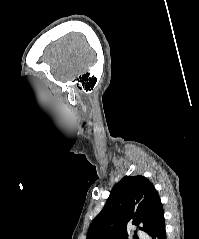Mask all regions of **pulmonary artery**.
Here are the masks:
<instances>
[{"label":"pulmonary artery","instance_id":"obj_1","mask_svg":"<svg viewBox=\"0 0 199 239\" xmlns=\"http://www.w3.org/2000/svg\"><path fill=\"white\" fill-rule=\"evenodd\" d=\"M137 235L141 238V239H148L149 237L147 236V234L142 231V230H137Z\"/></svg>","mask_w":199,"mask_h":239}]
</instances>
